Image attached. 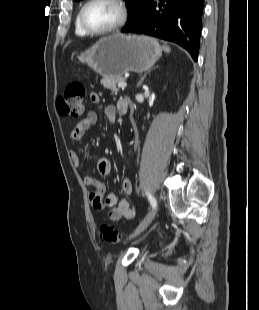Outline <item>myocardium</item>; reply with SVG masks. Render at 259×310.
I'll return each instance as SVG.
<instances>
[{"label": "myocardium", "mask_w": 259, "mask_h": 310, "mask_svg": "<svg viewBox=\"0 0 259 310\" xmlns=\"http://www.w3.org/2000/svg\"><path fill=\"white\" fill-rule=\"evenodd\" d=\"M95 1H97V0H87L84 3V5L81 7L79 14H78L80 26L88 35L104 36V35L114 33V32L120 30L122 27L125 26V24L127 23L128 17H129V9H128L127 4L125 3L124 0H108L112 3H114L119 9L120 16H119L118 21L116 23H114L113 25H111L110 27L102 29V30H94V29L90 28L85 22L84 12H85L86 8Z\"/></svg>", "instance_id": "1"}]
</instances>
